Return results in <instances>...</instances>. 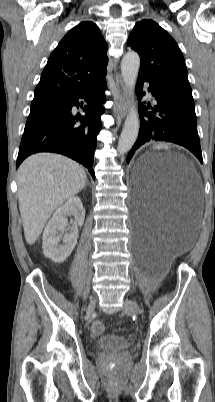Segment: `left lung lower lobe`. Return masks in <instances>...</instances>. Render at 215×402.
<instances>
[{"mask_svg": "<svg viewBox=\"0 0 215 402\" xmlns=\"http://www.w3.org/2000/svg\"><path fill=\"white\" fill-rule=\"evenodd\" d=\"M144 81L150 84L148 90L154 96L156 104L153 107L150 104L145 106V102L139 105V135L128 154L127 163L141 145L150 141H168L184 146L203 163L194 104L171 95L143 75H139L136 88L139 100L142 99Z\"/></svg>", "mask_w": 215, "mask_h": 402, "instance_id": "0a47b994", "label": "left lung lower lobe"}]
</instances>
